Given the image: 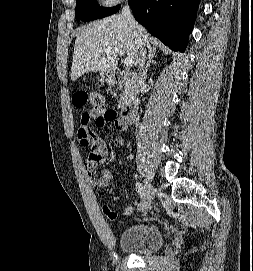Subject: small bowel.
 <instances>
[{"label": "small bowel", "mask_w": 253, "mask_h": 271, "mask_svg": "<svg viewBox=\"0 0 253 271\" xmlns=\"http://www.w3.org/2000/svg\"><path fill=\"white\" fill-rule=\"evenodd\" d=\"M93 119L95 120L96 126L99 128H104L111 122L106 120L103 114L94 115L87 112L81 116L77 136L81 145L88 146L90 148V154L83 160L85 171L89 175L94 172L98 165L105 162L109 154V148L106 142L99 136L95 135L89 125L90 121ZM113 122L120 133L126 131V126L122 122H118L117 120ZM114 142L118 147H123L125 145V140L120 136H117ZM110 178L111 172L108 169H102L99 171L97 176L91 179V183L94 187L103 188L107 186ZM133 210L134 208L132 206H127L122 210L121 214L123 216H130L133 213ZM105 214L108 219L112 221L119 218V213L109 207L105 208Z\"/></svg>", "instance_id": "c3829d8e"}]
</instances>
